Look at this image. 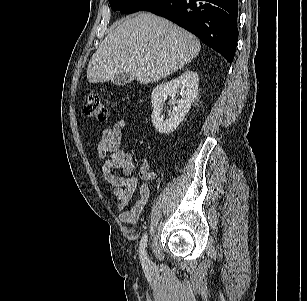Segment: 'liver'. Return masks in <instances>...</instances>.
I'll use <instances>...</instances> for the list:
<instances>
[{
  "mask_svg": "<svg viewBox=\"0 0 307 301\" xmlns=\"http://www.w3.org/2000/svg\"><path fill=\"white\" fill-rule=\"evenodd\" d=\"M201 48L190 32L151 13L127 18L100 43L87 68L89 83L125 72L141 84L158 81L191 62Z\"/></svg>",
  "mask_w": 307,
  "mask_h": 301,
  "instance_id": "liver-1",
  "label": "liver"
}]
</instances>
